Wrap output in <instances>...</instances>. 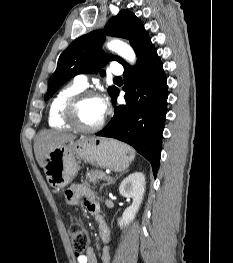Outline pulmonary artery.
Returning <instances> with one entry per match:
<instances>
[{"label": "pulmonary artery", "mask_w": 233, "mask_h": 263, "mask_svg": "<svg viewBox=\"0 0 233 263\" xmlns=\"http://www.w3.org/2000/svg\"><path fill=\"white\" fill-rule=\"evenodd\" d=\"M110 71L112 74L120 76L123 73V68L118 62L114 61L112 63V67H111ZM74 82L77 85H79L81 88H86L88 86V75L79 74L75 77Z\"/></svg>", "instance_id": "e3ab8cb5"}]
</instances>
